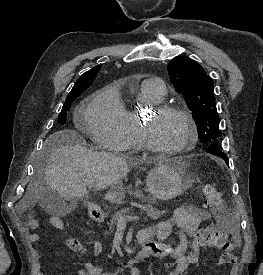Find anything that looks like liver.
<instances>
[{
	"mask_svg": "<svg viewBox=\"0 0 263 275\" xmlns=\"http://www.w3.org/2000/svg\"><path fill=\"white\" fill-rule=\"evenodd\" d=\"M82 137L73 130H62L54 133L47 141L51 145L44 179L47 186L57 191L67 200L87 195L88 183L95 185L96 190L114 188L127 175V161L106 152H93L81 145ZM32 187L22 199L23 204L33 203L37 195ZM120 197L116 190L108 191L106 200L114 201Z\"/></svg>",
	"mask_w": 263,
	"mask_h": 275,
	"instance_id": "6515ba94",
	"label": "liver"
}]
</instances>
